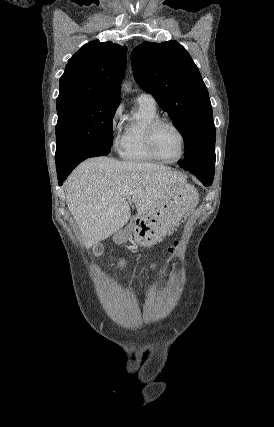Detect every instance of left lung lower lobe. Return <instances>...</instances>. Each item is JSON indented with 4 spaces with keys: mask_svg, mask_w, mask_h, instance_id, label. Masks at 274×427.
<instances>
[{
    "mask_svg": "<svg viewBox=\"0 0 274 427\" xmlns=\"http://www.w3.org/2000/svg\"><path fill=\"white\" fill-rule=\"evenodd\" d=\"M189 172L191 174H193L197 179H199L203 183V185H205V186H210L213 182L214 174L213 175H210V174L202 175V174H198V173L191 172V171H189Z\"/></svg>",
    "mask_w": 274,
    "mask_h": 427,
    "instance_id": "1",
    "label": "left lung lower lobe"
}]
</instances>
